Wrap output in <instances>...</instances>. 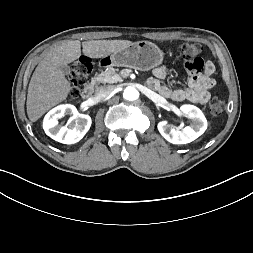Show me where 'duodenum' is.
Instances as JSON below:
<instances>
[{"mask_svg":"<svg viewBox=\"0 0 253 253\" xmlns=\"http://www.w3.org/2000/svg\"><path fill=\"white\" fill-rule=\"evenodd\" d=\"M96 80H93L90 84H88L82 92V96L85 99H89L92 97L95 90Z\"/></svg>","mask_w":253,"mask_h":253,"instance_id":"obj_1","label":"duodenum"}]
</instances>
